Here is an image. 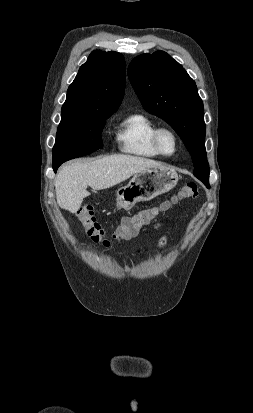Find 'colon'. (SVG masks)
I'll list each match as a JSON object with an SVG mask.
<instances>
[{"instance_id": "5ec220e1", "label": "colon", "mask_w": 253, "mask_h": 413, "mask_svg": "<svg viewBox=\"0 0 253 413\" xmlns=\"http://www.w3.org/2000/svg\"><path fill=\"white\" fill-rule=\"evenodd\" d=\"M198 196V185L195 182H187L181 188L179 193L158 206L143 209L136 214L126 216L122 219L120 226L113 233L112 238H107L101 225L94 217L93 209L89 205L81 206L76 215L83 226L88 237L95 243L110 247L114 241L120 242L134 237L139 229L151 223L156 216L167 210L173 203L179 199H194Z\"/></svg>"}]
</instances>
